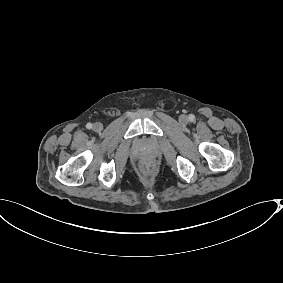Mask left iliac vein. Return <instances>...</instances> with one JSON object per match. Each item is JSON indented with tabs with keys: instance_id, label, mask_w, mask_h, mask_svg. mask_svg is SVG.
<instances>
[{
	"instance_id": "obj_1",
	"label": "left iliac vein",
	"mask_w": 283,
	"mask_h": 283,
	"mask_svg": "<svg viewBox=\"0 0 283 283\" xmlns=\"http://www.w3.org/2000/svg\"><path fill=\"white\" fill-rule=\"evenodd\" d=\"M179 121L181 122V123H187L188 122V116H186V115H181L180 117H179Z\"/></svg>"
}]
</instances>
